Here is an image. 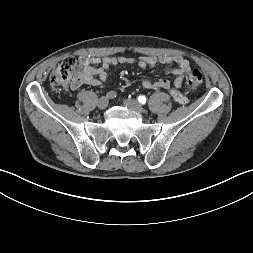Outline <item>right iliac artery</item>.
I'll return each instance as SVG.
<instances>
[{"label": "right iliac artery", "mask_w": 253, "mask_h": 253, "mask_svg": "<svg viewBox=\"0 0 253 253\" xmlns=\"http://www.w3.org/2000/svg\"><path fill=\"white\" fill-rule=\"evenodd\" d=\"M117 96V93L115 91H109L106 94L107 99H114Z\"/></svg>", "instance_id": "obj_1"}]
</instances>
